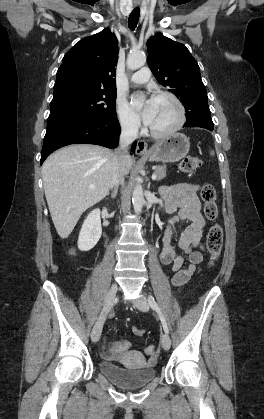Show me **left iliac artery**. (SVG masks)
I'll return each mask as SVG.
<instances>
[{
  "mask_svg": "<svg viewBox=\"0 0 264 419\" xmlns=\"http://www.w3.org/2000/svg\"><path fill=\"white\" fill-rule=\"evenodd\" d=\"M148 302H149V305L151 306V308L154 309L158 313L159 318H160L161 323H162V326H163V329H164L165 333L168 334L169 329H168L167 323L165 321V318H164V316H163V314L160 310V307L158 306V304L156 303V301H155V299L152 295L148 296Z\"/></svg>",
  "mask_w": 264,
  "mask_h": 419,
  "instance_id": "1",
  "label": "left iliac artery"
}]
</instances>
